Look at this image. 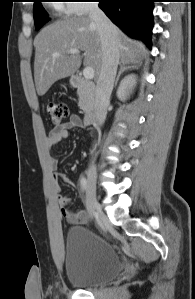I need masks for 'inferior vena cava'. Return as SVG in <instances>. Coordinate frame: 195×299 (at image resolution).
I'll return each instance as SVG.
<instances>
[{
	"label": "inferior vena cava",
	"instance_id": "602c4592",
	"mask_svg": "<svg viewBox=\"0 0 195 299\" xmlns=\"http://www.w3.org/2000/svg\"><path fill=\"white\" fill-rule=\"evenodd\" d=\"M89 18L97 26L102 51V66L97 80L94 105V126L96 129H99L104 124L107 115V106L110 101L119 63L120 43L116 27L99 8L97 2L89 5Z\"/></svg>",
	"mask_w": 195,
	"mask_h": 299
}]
</instances>
